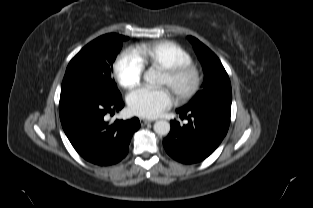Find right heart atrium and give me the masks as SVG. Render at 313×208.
I'll list each match as a JSON object with an SVG mask.
<instances>
[{
    "label": "right heart atrium",
    "mask_w": 313,
    "mask_h": 208,
    "mask_svg": "<svg viewBox=\"0 0 313 208\" xmlns=\"http://www.w3.org/2000/svg\"><path fill=\"white\" fill-rule=\"evenodd\" d=\"M144 71V64L133 50L125 51L114 65V73L119 84L127 89L139 84Z\"/></svg>",
    "instance_id": "d8ad5b80"
}]
</instances>
